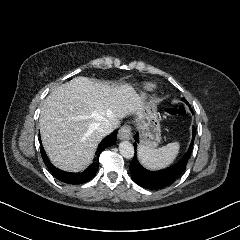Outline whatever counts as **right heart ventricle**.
Segmentation results:
<instances>
[{"mask_svg": "<svg viewBox=\"0 0 240 240\" xmlns=\"http://www.w3.org/2000/svg\"><path fill=\"white\" fill-rule=\"evenodd\" d=\"M153 87H154L153 85L146 84V85L142 86V89H144V90H151Z\"/></svg>", "mask_w": 240, "mask_h": 240, "instance_id": "right-heart-ventricle-1", "label": "right heart ventricle"}]
</instances>
